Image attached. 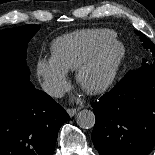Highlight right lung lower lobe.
I'll list each match as a JSON object with an SVG mask.
<instances>
[{
    "label": "right lung lower lobe",
    "instance_id": "98d812e1",
    "mask_svg": "<svg viewBox=\"0 0 155 155\" xmlns=\"http://www.w3.org/2000/svg\"><path fill=\"white\" fill-rule=\"evenodd\" d=\"M68 119L33 85L24 96L0 89V155H53L58 131Z\"/></svg>",
    "mask_w": 155,
    "mask_h": 155
}]
</instances>
